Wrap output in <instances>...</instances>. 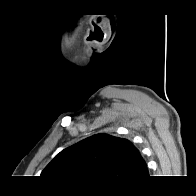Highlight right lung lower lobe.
Here are the masks:
<instances>
[{"instance_id": "98d812e1", "label": "right lung lower lobe", "mask_w": 196, "mask_h": 196, "mask_svg": "<svg viewBox=\"0 0 196 196\" xmlns=\"http://www.w3.org/2000/svg\"><path fill=\"white\" fill-rule=\"evenodd\" d=\"M138 182H135V183H131V184H124V185H119V186H122V187H126V186H133L135 184H137Z\"/></svg>"}]
</instances>
